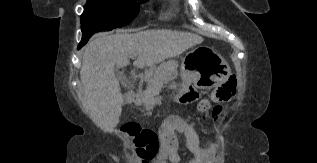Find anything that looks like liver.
I'll return each instance as SVG.
<instances>
[{
  "label": "liver",
  "instance_id": "obj_1",
  "mask_svg": "<svg viewBox=\"0 0 317 163\" xmlns=\"http://www.w3.org/2000/svg\"><path fill=\"white\" fill-rule=\"evenodd\" d=\"M202 42L197 34L167 29L98 34L85 47L80 70L85 112L101 129H114L123 103L115 65L125 67L131 58L138 68L153 66Z\"/></svg>",
  "mask_w": 317,
  "mask_h": 163
}]
</instances>
